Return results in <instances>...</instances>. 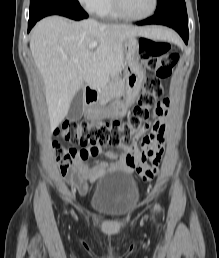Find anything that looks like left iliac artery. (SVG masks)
<instances>
[{
  "instance_id": "44dca946",
  "label": "left iliac artery",
  "mask_w": 219,
  "mask_h": 258,
  "mask_svg": "<svg viewBox=\"0 0 219 258\" xmlns=\"http://www.w3.org/2000/svg\"><path fill=\"white\" fill-rule=\"evenodd\" d=\"M155 208L158 209V210L160 209V207L158 205H156Z\"/></svg>"
}]
</instances>
